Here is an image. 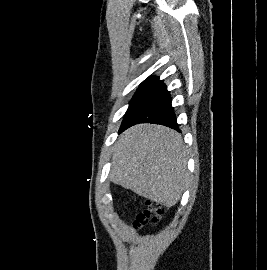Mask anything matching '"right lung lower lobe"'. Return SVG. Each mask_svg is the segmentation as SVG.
Returning <instances> with one entry per match:
<instances>
[{
    "mask_svg": "<svg viewBox=\"0 0 267 270\" xmlns=\"http://www.w3.org/2000/svg\"><path fill=\"white\" fill-rule=\"evenodd\" d=\"M171 101L170 93L163 81L155 78L127 112L119 133L139 123L161 124L180 132Z\"/></svg>",
    "mask_w": 267,
    "mask_h": 270,
    "instance_id": "98d812e1",
    "label": "right lung lower lobe"
}]
</instances>
